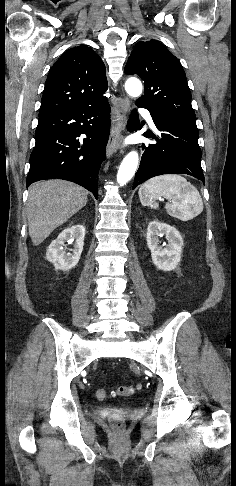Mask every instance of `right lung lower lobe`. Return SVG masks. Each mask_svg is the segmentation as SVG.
<instances>
[{"instance_id":"1","label":"right lung lower lobe","mask_w":236,"mask_h":486,"mask_svg":"<svg viewBox=\"0 0 236 486\" xmlns=\"http://www.w3.org/2000/svg\"><path fill=\"white\" fill-rule=\"evenodd\" d=\"M110 131V106H92L39 117L35 147L30 156L27 187L45 179L77 183L98 198V170L106 158ZM86 138L80 142L78 137Z\"/></svg>"}]
</instances>
